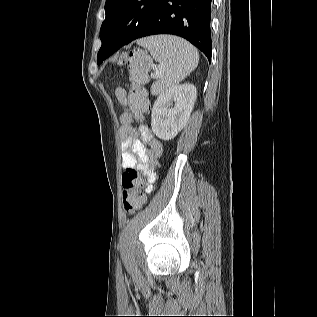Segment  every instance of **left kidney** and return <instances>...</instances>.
<instances>
[{"label": "left kidney", "mask_w": 317, "mask_h": 317, "mask_svg": "<svg viewBox=\"0 0 317 317\" xmlns=\"http://www.w3.org/2000/svg\"><path fill=\"white\" fill-rule=\"evenodd\" d=\"M196 95V87L185 83L169 88L157 98L151 113V127L159 139L171 140L183 129L192 112Z\"/></svg>", "instance_id": "5707ae66"}]
</instances>
